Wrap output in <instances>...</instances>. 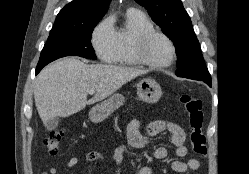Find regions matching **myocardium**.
I'll return each instance as SVG.
<instances>
[{
	"instance_id": "obj_1",
	"label": "myocardium",
	"mask_w": 249,
	"mask_h": 174,
	"mask_svg": "<svg viewBox=\"0 0 249 174\" xmlns=\"http://www.w3.org/2000/svg\"><path fill=\"white\" fill-rule=\"evenodd\" d=\"M156 37L165 39L172 49V56L167 62H156L148 56V46L150 42ZM132 52L140 64L155 69L169 67L177 57V48L174 41L167 34L156 29H149L140 33L134 41Z\"/></svg>"
}]
</instances>
